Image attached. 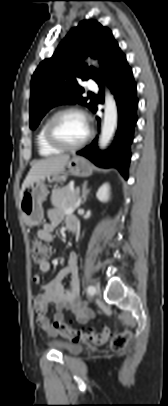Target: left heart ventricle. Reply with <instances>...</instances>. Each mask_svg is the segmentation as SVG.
<instances>
[{"label": "left heart ventricle", "instance_id": "b2bd125f", "mask_svg": "<svg viewBox=\"0 0 168 406\" xmlns=\"http://www.w3.org/2000/svg\"><path fill=\"white\" fill-rule=\"evenodd\" d=\"M54 133L61 142L74 144L87 135L88 125L85 118L80 114L67 113L57 119Z\"/></svg>", "mask_w": 168, "mask_h": 406}]
</instances>
